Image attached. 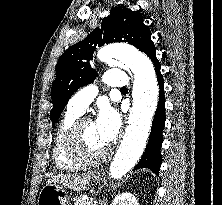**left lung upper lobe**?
I'll use <instances>...</instances> for the list:
<instances>
[{
  "instance_id": "left-lung-upper-lobe-1",
  "label": "left lung upper lobe",
  "mask_w": 222,
  "mask_h": 205,
  "mask_svg": "<svg viewBox=\"0 0 222 205\" xmlns=\"http://www.w3.org/2000/svg\"><path fill=\"white\" fill-rule=\"evenodd\" d=\"M149 36L151 32L143 23L142 14L128 8L116 7L103 19L101 29H94L87 38L69 47L59 57L57 76L51 88L52 126H55L72 94L78 88L92 83L97 77V72L89 63L96 47L123 41L141 50Z\"/></svg>"
}]
</instances>
